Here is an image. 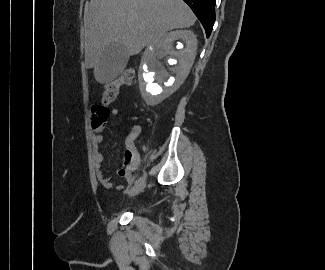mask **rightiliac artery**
Masks as SVG:
<instances>
[{"label": "right iliac artery", "mask_w": 325, "mask_h": 270, "mask_svg": "<svg viewBox=\"0 0 325 270\" xmlns=\"http://www.w3.org/2000/svg\"><path fill=\"white\" fill-rule=\"evenodd\" d=\"M145 179V174L135 181V185L141 183Z\"/></svg>", "instance_id": "right-iliac-artery-1"}]
</instances>
